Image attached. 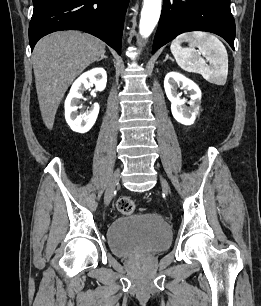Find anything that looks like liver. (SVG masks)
Here are the masks:
<instances>
[{
    "label": "liver",
    "mask_w": 261,
    "mask_h": 306,
    "mask_svg": "<svg viewBox=\"0 0 261 306\" xmlns=\"http://www.w3.org/2000/svg\"><path fill=\"white\" fill-rule=\"evenodd\" d=\"M105 54V44L80 31L43 37L33 51V69L44 124L52 129L59 104L73 80Z\"/></svg>",
    "instance_id": "liver-1"
}]
</instances>
